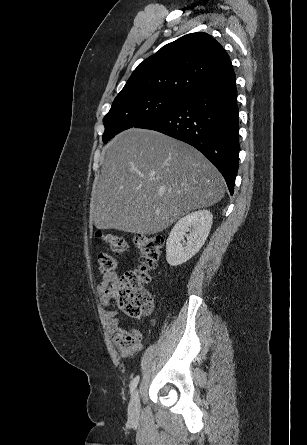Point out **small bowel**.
Wrapping results in <instances>:
<instances>
[{"label": "small bowel", "mask_w": 307, "mask_h": 445, "mask_svg": "<svg viewBox=\"0 0 307 445\" xmlns=\"http://www.w3.org/2000/svg\"><path fill=\"white\" fill-rule=\"evenodd\" d=\"M116 272L104 274L97 290L101 303L109 305V291L118 283ZM102 314L111 332V342L117 347L122 357H131L142 349V333L138 329H125L120 324L117 312L113 309L103 308Z\"/></svg>", "instance_id": "small-bowel-1"}]
</instances>
